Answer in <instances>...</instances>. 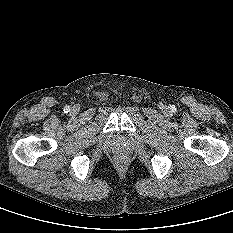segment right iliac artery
Instances as JSON below:
<instances>
[{
    "label": "right iliac artery",
    "instance_id": "82829eb1",
    "mask_svg": "<svg viewBox=\"0 0 233 233\" xmlns=\"http://www.w3.org/2000/svg\"><path fill=\"white\" fill-rule=\"evenodd\" d=\"M64 112H65V113L70 112V106L66 105V106L64 107Z\"/></svg>",
    "mask_w": 233,
    "mask_h": 233
}]
</instances>
